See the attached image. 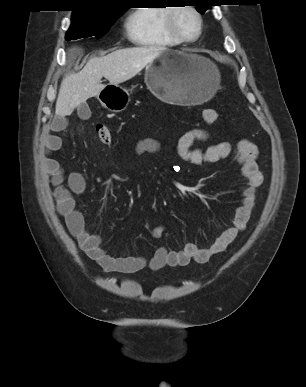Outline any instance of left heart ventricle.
Instances as JSON below:
<instances>
[{"instance_id":"obj_1","label":"left heart ventricle","mask_w":306,"mask_h":387,"mask_svg":"<svg viewBox=\"0 0 306 387\" xmlns=\"http://www.w3.org/2000/svg\"><path fill=\"white\" fill-rule=\"evenodd\" d=\"M176 24L180 32L188 38L194 37L197 33L198 20L189 10L183 9L177 12Z\"/></svg>"}]
</instances>
